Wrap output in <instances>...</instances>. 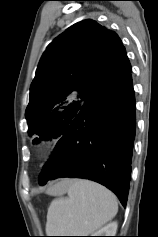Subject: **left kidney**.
<instances>
[{
  "label": "left kidney",
  "instance_id": "obj_1",
  "mask_svg": "<svg viewBox=\"0 0 158 237\" xmlns=\"http://www.w3.org/2000/svg\"><path fill=\"white\" fill-rule=\"evenodd\" d=\"M118 224L117 222H111L92 234L93 236H115Z\"/></svg>",
  "mask_w": 158,
  "mask_h": 237
}]
</instances>
